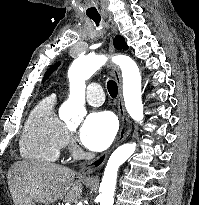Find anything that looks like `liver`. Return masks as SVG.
I'll return each mask as SVG.
<instances>
[{"label": "liver", "mask_w": 199, "mask_h": 205, "mask_svg": "<svg viewBox=\"0 0 199 205\" xmlns=\"http://www.w3.org/2000/svg\"><path fill=\"white\" fill-rule=\"evenodd\" d=\"M70 168L48 162L18 161L8 171V185L15 205L31 202L50 205L64 198L77 201L82 194V180L75 181Z\"/></svg>", "instance_id": "liver-1"}]
</instances>
